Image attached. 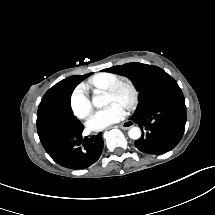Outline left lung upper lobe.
Returning a JSON list of instances; mask_svg holds the SVG:
<instances>
[{
    "mask_svg": "<svg viewBox=\"0 0 215 215\" xmlns=\"http://www.w3.org/2000/svg\"><path fill=\"white\" fill-rule=\"evenodd\" d=\"M125 73L140 89L141 100L130 118L144 132L135 146L148 154L172 150L181 140L186 123V106L177 82L159 67L129 63L106 69Z\"/></svg>",
    "mask_w": 215,
    "mask_h": 215,
    "instance_id": "obj_1",
    "label": "left lung upper lobe"
}]
</instances>
